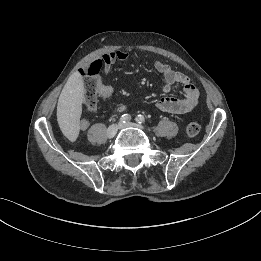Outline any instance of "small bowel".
<instances>
[{"label": "small bowel", "instance_id": "c3829d8e", "mask_svg": "<svg viewBox=\"0 0 261 261\" xmlns=\"http://www.w3.org/2000/svg\"><path fill=\"white\" fill-rule=\"evenodd\" d=\"M129 54L123 50H117L105 53L99 61L102 62V70L104 74H107L111 66L117 61H126ZM155 69L163 76L164 83L162 86V91L166 94L170 93L175 84H180L183 86L182 97H172L164 96L156 102V107L168 113L174 114H184L191 111L199 101V90L192 83L190 78L179 72L173 70L167 63L161 60H156L154 62ZM113 92V88L110 85L100 83L99 95L101 97H107ZM126 107L124 105L119 106L117 111L123 112ZM89 126L88 120H83L80 124V128L85 130Z\"/></svg>", "mask_w": 261, "mask_h": 261}]
</instances>
